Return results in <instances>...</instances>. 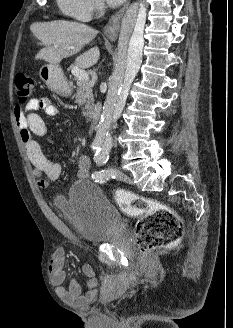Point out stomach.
I'll return each instance as SVG.
<instances>
[{
  "mask_svg": "<svg viewBox=\"0 0 233 328\" xmlns=\"http://www.w3.org/2000/svg\"><path fill=\"white\" fill-rule=\"evenodd\" d=\"M39 76L52 91L62 96L71 95L72 88L58 64L43 65L40 68Z\"/></svg>",
  "mask_w": 233,
  "mask_h": 328,
  "instance_id": "1",
  "label": "stomach"
}]
</instances>
